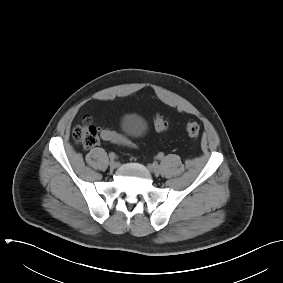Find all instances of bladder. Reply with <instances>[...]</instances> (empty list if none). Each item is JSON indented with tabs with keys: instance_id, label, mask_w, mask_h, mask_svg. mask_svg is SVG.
I'll list each match as a JSON object with an SVG mask.
<instances>
[{
	"instance_id": "31cf9c89",
	"label": "bladder",
	"mask_w": 283,
	"mask_h": 283,
	"mask_svg": "<svg viewBox=\"0 0 283 283\" xmlns=\"http://www.w3.org/2000/svg\"><path fill=\"white\" fill-rule=\"evenodd\" d=\"M121 127L126 135L139 137L144 134L146 123L140 116L129 114L122 118Z\"/></svg>"
}]
</instances>
